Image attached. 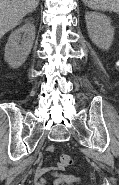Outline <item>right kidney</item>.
<instances>
[{
    "label": "right kidney",
    "mask_w": 119,
    "mask_h": 185,
    "mask_svg": "<svg viewBox=\"0 0 119 185\" xmlns=\"http://www.w3.org/2000/svg\"><path fill=\"white\" fill-rule=\"evenodd\" d=\"M35 26L32 22L14 30L5 46L4 59L12 68L20 67L31 52L35 39Z\"/></svg>",
    "instance_id": "1"
}]
</instances>
